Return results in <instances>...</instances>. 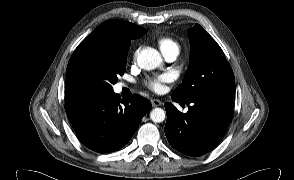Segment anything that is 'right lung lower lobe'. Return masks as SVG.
<instances>
[{
    "label": "right lung lower lobe",
    "mask_w": 294,
    "mask_h": 180,
    "mask_svg": "<svg viewBox=\"0 0 294 180\" xmlns=\"http://www.w3.org/2000/svg\"><path fill=\"white\" fill-rule=\"evenodd\" d=\"M150 108V101L140 95L123 101L114 91L65 99V111L78 139L98 153L126 145Z\"/></svg>",
    "instance_id": "1"
}]
</instances>
